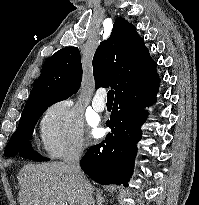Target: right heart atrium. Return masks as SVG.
<instances>
[{
  "mask_svg": "<svg viewBox=\"0 0 199 205\" xmlns=\"http://www.w3.org/2000/svg\"><path fill=\"white\" fill-rule=\"evenodd\" d=\"M39 133L42 148L52 158L75 156L85 147L81 116L68 99L48 106L40 120Z\"/></svg>",
  "mask_w": 199,
  "mask_h": 205,
  "instance_id": "d8ad5b80",
  "label": "right heart atrium"
}]
</instances>
